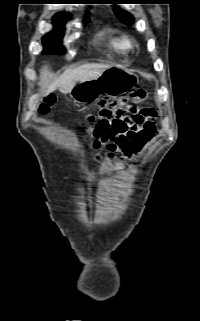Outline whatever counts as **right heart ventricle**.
I'll return each instance as SVG.
<instances>
[{
    "label": "right heart ventricle",
    "instance_id": "e07e8e85",
    "mask_svg": "<svg viewBox=\"0 0 200 321\" xmlns=\"http://www.w3.org/2000/svg\"><path fill=\"white\" fill-rule=\"evenodd\" d=\"M101 36L103 37L104 44L116 52L127 53L130 50V40L123 33L105 28L101 31Z\"/></svg>",
    "mask_w": 200,
    "mask_h": 321
}]
</instances>
